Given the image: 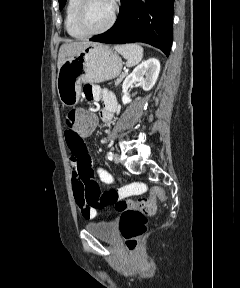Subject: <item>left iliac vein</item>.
I'll list each match as a JSON object with an SVG mask.
<instances>
[{
	"instance_id": "left-iliac-vein-1",
	"label": "left iliac vein",
	"mask_w": 240,
	"mask_h": 288,
	"mask_svg": "<svg viewBox=\"0 0 240 288\" xmlns=\"http://www.w3.org/2000/svg\"><path fill=\"white\" fill-rule=\"evenodd\" d=\"M113 160H114L115 163H119L120 157H119V155L117 153L114 154Z\"/></svg>"
}]
</instances>
